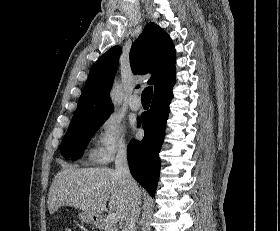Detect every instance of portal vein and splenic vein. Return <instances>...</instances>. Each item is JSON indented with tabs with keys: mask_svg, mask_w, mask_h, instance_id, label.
<instances>
[{
	"mask_svg": "<svg viewBox=\"0 0 280 231\" xmlns=\"http://www.w3.org/2000/svg\"><path fill=\"white\" fill-rule=\"evenodd\" d=\"M107 221H110V223H117V221H119L117 213H108Z\"/></svg>",
	"mask_w": 280,
	"mask_h": 231,
	"instance_id": "obj_1",
	"label": "portal vein and splenic vein"
}]
</instances>
